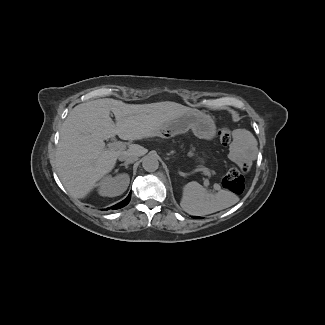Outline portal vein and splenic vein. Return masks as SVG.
Instances as JSON below:
<instances>
[{
    "label": "portal vein and splenic vein",
    "instance_id": "18ae733b",
    "mask_svg": "<svg viewBox=\"0 0 325 325\" xmlns=\"http://www.w3.org/2000/svg\"><path fill=\"white\" fill-rule=\"evenodd\" d=\"M108 147H109V148H113V149L124 150L125 145H124V143L118 141V142H112V143H109V144H108ZM204 186H205V187H208V186H209V180H208V179H205V180H204ZM214 188L217 189L216 185H214Z\"/></svg>",
    "mask_w": 325,
    "mask_h": 325
}]
</instances>
